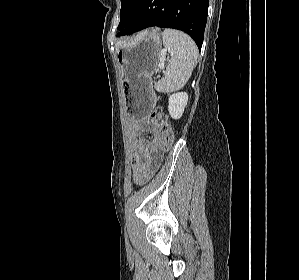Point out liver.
I'll use <instances>...</instances> for the list:
<instances>
[{
	"label": "liver",
	"instance_id": "obj_1",
	"mask_svg": "<svg viewBox=\"0 0 299 280\" xmlns=\"http://www.w3.org/2000/svg\"><path fill=\"white\" fill-rule=\"evenodd\" d=\"M126 43L125 42H117L115 47H116V50L118 51L121 47H123Z\"/></svg>",
	"mask_w": 299,
	"mask_h": 280
}]
</instances>
